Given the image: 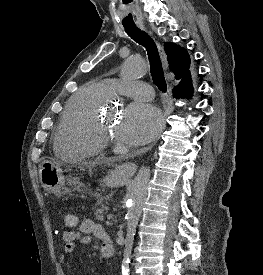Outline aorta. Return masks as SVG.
<instances>
[{"mask_svg":"<svg viewBox=\"0 0 263 275\" xmlns=\"http://www.w3.org/2000/svg\"><path fill=\"white\" fill-rule=\"evenodd\" d=\"M147 71L145 62L138 57L127 58L121 68L123 79H137L143 76ZM150 180V168L142 167L138 171L131 186L128 200V209L126 214L127 234L125 238V247L121 270L123 275H128L130 268L131 252L134 243L136 227L140 219L144 202L147 196V190Z\"/></svg>","mask_w":263,"mask_h":275,"instance_id":"obj_1","label":"aorta"}]
</instances>
